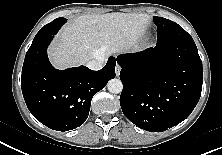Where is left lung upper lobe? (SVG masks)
Wrapping results in <instances>:
<instances>
[{
    "instance_id": "1",
    "label": "left lung upper lobe",
    "mask_w": 222,
    "mask_h": 155,
    "mask_svg": "<svg viewBox=\"0 0 222 155\" xmlns=\"http://www.w3.org/2000/svg\"><path fill=\"white\" fill-rule=\"evenodd\" d=\"M154 23L157 25L158 41L179 39L193 40L189 33H187L181 26L171 20L155 16Z\"/></svg>"
}]
</instances>
